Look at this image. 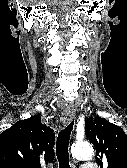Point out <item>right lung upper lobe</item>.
Masks as SVG:
<instances>
[{"label":"right lung upper lobe","instance_id":"right-lung-upper-lobe-1","mask_svg":"<svg viewBox=\"0 0 127 168\" xmlns=\"http://www.w3.org/2000/svg\"><path fill=\"white\" fill-rule=\"evenodd\" d=\"M54 141L40 116L20 120L0 134V168H43L53 160Z\"/></svg>","mask_w":127,"mask_h":168}]
</instances>
